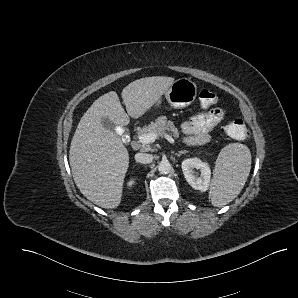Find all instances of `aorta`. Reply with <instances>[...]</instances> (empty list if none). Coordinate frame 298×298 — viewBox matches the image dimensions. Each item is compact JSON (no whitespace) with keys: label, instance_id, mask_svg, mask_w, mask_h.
Instances as JSON below:
<instances>
[{"label":"aorta","instance_id":"obj_1","mask_svg":"<svg viewBox=\"0 0 298 298\" xmlns=\"http://www.w3.org/2000/svg\"><path fill=\"white\" fill-rule=\"evenodd\" d=\"M157 169L160 174H169L171 172L172 165L168 160H161L157 166Z\"/></svg>","mask_w":298,"mask_h":298}]
</instances>
